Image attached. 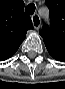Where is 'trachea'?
Returning a JSON list of instances; mask_svg holds the SVG:
<instances>
[{
    "mask_svg": "<svg viewBox=\"0 0 65 89\" xmlns=\"http://www.w3.org/2000/svg\"><path fill=\"white\" fill-rule=\"evenodd\" d=\"M35 4L34 3H30L25 7V13L32 15L35 12Z\"/></svg>",
    "mask_w": 65,
    "mask_h": 89,
    "instance_id": "1",
    "label": "trachea"
}]
</instances>
